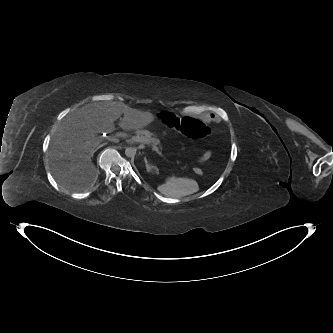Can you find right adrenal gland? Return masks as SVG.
Returning <instances> with one entry per match:
<instances>
[{"instance_id": "1", "label": "right adrenal gland", "mask_w": 333, "mask_h": 333, "mask_svg": "<svg viewBox=\"0 0 333 333\" xmlns=\"http://www.w3.org/2000/svg\"><path fill=\"white\" fill-rule=\"evenodd\" d=\"M107 143H104V144H102L101 146H104V145H106Z\"/></svg>"}]
</instances>
